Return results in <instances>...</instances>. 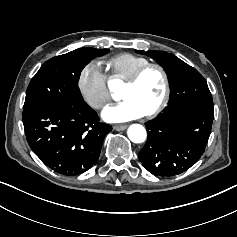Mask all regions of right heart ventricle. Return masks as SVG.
I'll return each instance as SVG.
<instances>
[{"instance_id": "e07e8e85", "label": "right heart ventricle", "mask_w": 237, "mask_h": 237, "mask_svg": "<svg viewBox=\"0 0 237 237\" xmlns=\"http://www.w3.org/2000/svg\"><path fill=\"white\" fill-rule=\"evenodd\" d=\"M149 61L131 53H121L111 57L106 65L113 80L125 81Z\"/></svg>"}]
</instances>
